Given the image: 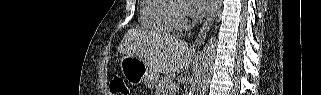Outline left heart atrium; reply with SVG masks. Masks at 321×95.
I'll use <instances>...</instances> for the list:
<instances>
[{
	"instance_id": "39dd6f15",
	"label": "left heart atrium",
	"mask_w": 321,
	"mask_h": 95,
	"mask_svg": "<svg viewBox=\"0 0 321 95\" xmlns=\"http://www.w3.org/2000/svg\"><path fill=\"white\" fill-rule=\"evenodd\" d=\"M189 3L188 13L192 16H200L209 10L213 0H189Z\"/></svg>"
}]
</instances>
